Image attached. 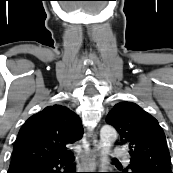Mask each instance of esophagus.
Listing matches in <instances>:
<instances>
[{"label":"esophagus","mask_w":173,"mask_h":173,"mask_svg":"<svg viewBox=\"0 0 173 173\" xmlns=\"http://www.w3.org/2000/svg\"><path fill=\"white\" fill-rule=\"evenodd\" d=\"M98 139L95 133H92L88 138L87 143L84 145V163L91 170L95 172L98 156Z\"/></svg>","instance_id":"esophagus-1"}]
</instances>
